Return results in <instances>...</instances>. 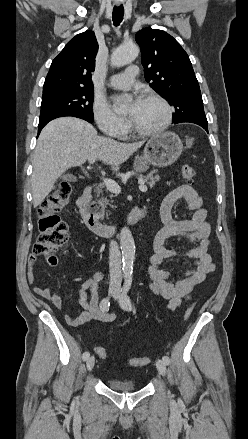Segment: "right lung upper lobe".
Listing matches in <instances>:
<instances>
[{"label": "right lung upper lobe", "instance_id": "obj_1", "mask_svg": "<svg viewBox=\"0 0 248 439\" xmlns=\"http://www.w3.org/2000/svg\"><path fill=\"white\" fill-rule=\"evenodd\" d=\"M98 43L93 31L76 35L52 61L43 86V95L78 88H93L91 72Z\"/></svg>", "mask_w": 248, "mask_h": 439}]
</instances>
